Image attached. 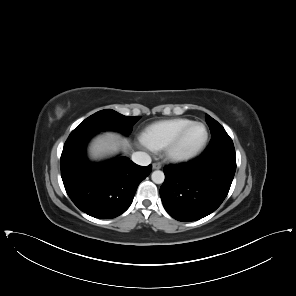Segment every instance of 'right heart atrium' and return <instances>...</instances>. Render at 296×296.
Segmentation results:
<instances>
[{"label": "right heart atrium", "instance_id": "obj_1", "mask_svg": "<svg viewBox=\"0 0 296 296\" xmlns=\"http://www.w3.org/2000/svg\"><path fill=\"white\" fill-rule=\"evenodd\" d=\"M141 144H142L145 148H150V147L146 144V142H145L144 140L141 141Z\"/></svg>", "mask_w": 296, "mask_h": 296}]
</instances>
